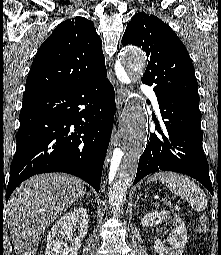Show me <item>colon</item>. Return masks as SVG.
<instances>
[{
  "label": "colon",
  "instance_id": "1",
  "mask_svg": "<svg viewBox=\"0 0 221 255\" xmlns=\"http://www.w3.org/2000/svg\"><path fill=\"white\" fill-rule=\"evenodd\" d=\"M201 221H202L203 224H205L206 223V217L202 216Z\"/></svg>",
  "mask_w": 221,
  "mask_h": 255
}]
</instances>
